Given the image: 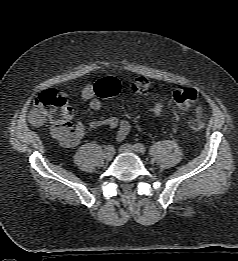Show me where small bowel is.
<instances>
[{"label":"small bowel","mask_w":238,"mask_h":261,"mask_svg":"<svg viewBox=\"0 0 238 261\" xmlns=\"http://www.w3.org/2000/svg\"><path fill=\"white\" fill-rule=\"evenodd\" d=\"M81 96L84 100L89 102L91 109L99 110L101 108L102 102L96 92L95 85H85L81 91ZM162 109L163 102L157 101L151 106L150 112L154 115H159ZM71 117L66 122L51 124L52 135L66 147L77 146L90 132L100 127L115 129L116 137L120 141L125 139L131 130V122L128 119L108 117L102 120L90 122L86 125L82 122L73 124L71 122Z\"/></svg>","instance_id":"small-bowel-1"}]
</instances>
